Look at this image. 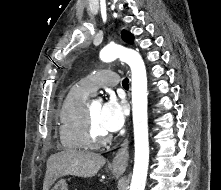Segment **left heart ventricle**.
I'll return each instance as SVG.
<instances>
[{
	"label": "left heart ventricle",
	"instance_id": "b2bd125f",
	"mask_svg": "<svg viewBox=\"0 0 221 190\" xmlns=\"http://www.w3.org/2000/svg\"><path fill=\"white\" fill-rule=\"evenodd\" d=\"M101 108L102 106L100 103H93L88 107L94 130L98 135L107 134V132L104 131L100 125Z\"/></svg>",
	"mask_w": 221,
	"mask_h": 190
}]
</instances>
